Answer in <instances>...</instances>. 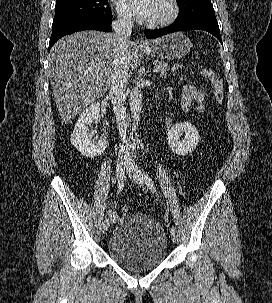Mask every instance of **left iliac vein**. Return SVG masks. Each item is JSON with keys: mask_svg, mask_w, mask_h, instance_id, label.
<instances>
[{"mask_svg": "<svg viewBox=\"0 0 272 303\" xmlns=\"http://www.w3.org/2000/svg\"><path fill=\"white\" fill-rule=\"evenodd\" d=\"M126 170L130 179L134 181L136 184L139 185L145 184V178L143 176V173L137 165H135L131 161H128L126 165ZM170 233H171L172 241L176 242L177 241L176 231L170 230Z\"/></svg>", "mask_w": 272, "mask_h": 303, "instance_id": "1", "label": "left iliac vein"}]
</instances>
